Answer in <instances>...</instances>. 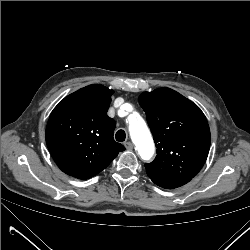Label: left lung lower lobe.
Segmentation results:
<instances>
[{
    "label": "left lung lower lobe",
    "instance_id": "1",
    "mask_svg": "<svg viewBox=\"0 0 250 250\" xmlns=\"http://www.w3.org/2000/svg\"><path fill=\"white\" fill-rule=\"evenodd\" d=\"M150 179L160 187L166 189H173L180 187L186 183H188L192 178L181 177V178H164L156 175L148 174Z\"/></svg>",
    "mask_w": 250,
    "mask_h": 250
}]
</instances>
